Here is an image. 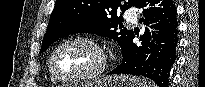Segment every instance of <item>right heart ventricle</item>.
<instances>
[{
  "label": "right heart ventricle",
  "instance_id": "obj_1",
  "mask_svg": "<svg viewBox=\"0 0 205 87\" xmlns=\"http://www.w3.org/2000/svg\"><path fill=\"white\" fill-rule=\"evenodd\" d=\"M50 77H51L52 82H54V83H57V82H58L56 79H54V78L51 76V74H50Z\"/></svg>",
  "mask_w": 205,
  "mask_h": 87
}]
</instances>
